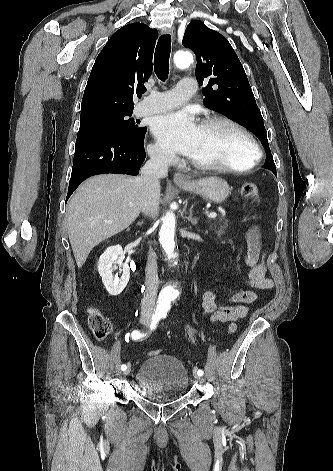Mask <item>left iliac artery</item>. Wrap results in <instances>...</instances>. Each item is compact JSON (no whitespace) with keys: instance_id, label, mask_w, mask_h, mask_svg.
Wrapping results in <instances>:
<instances>
[{"instance_id":"1","label":"left iliac artery","mask_w":333,"mask_h":471,"mask_svg":"<svg viewBox=\"0 0 333 471\" xmlns=\"http://www.w3.org/2000/svg\"><path fill=\"white\" fill-rule=\"evenodd\" d=\"M166 316H167L166 311L161 312V318H166ZM194 370L196 371V369H194ZM197 374L202 376L204 374V372H203V370L199 369V370H197Z\"/></svg>"}]
</instances>
